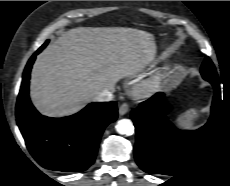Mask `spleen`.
Listing matches in <instances>:
<instances>
[{
    "label": "spleen",
    "instance_id": "3e777b00",
    "mask_svg": "<svg viewBox=\"0 0 230 186\" xmlns=\"http://www.w3.org/2000/svg\"><path fill=\"white\" fill-rule=\"evenodd\" d=\"M198 117V112L196 109L192 108L179 115L176 120V123L179 127H191L193 120Z\"/></svg>",
    "mask_w": 230,
    "mask_h": 186
}]
</instances>
